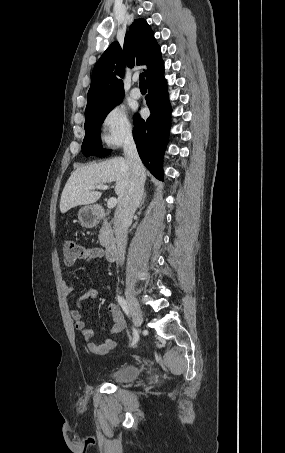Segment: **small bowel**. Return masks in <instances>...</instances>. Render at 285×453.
I'll list each match as a JSON object with an SVG mask.
<instances>
[{
  "label": "small bowel",
  "mask_w": 285,
  "mask_h": 453,
  "mask_svg": "<svg viewBox=\"0 0 285 453\" xmlns=\"http://www.w3.org/2000/svg\"><path fill=\"white\" fill-rule=\"evenodd\" d=\"M81 258L85 261H92L95 259L102 260L104 258V251L97 247H87L82 249ZM108 289V288H106ZM64 291L67 295L73 293L74 288L71 285H66ZM99 296V291L96 289H90L85 294L81 295L76 301V308L71 311V317L74 322V328L81 334L86 348L94 354L105 355L110 350L115 348L116 341L112 338L96 343L93 341V332L87 328L82 314L81 309L83 302L87 299H96ZM107 310L113 320V325L109 331L110 334H117L124 330L125 320L118 306L115 303H109Z\"/></svg>",
  "instance_id": "1"
}]
</instances>
